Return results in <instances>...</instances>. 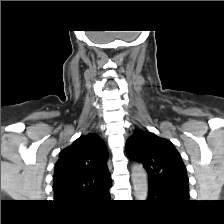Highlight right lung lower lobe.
Here are the masks:
<instances>
[{"label":"right lung lower lobe","instance_id":"1","mask_svg":"<svg viewBox=\"0 0 224 224\" xmlns=\"http://www.w3.org/2000/svg\"><path fill=\"white\" fill-rule=\"evenodd\" d=\"M102 199H107V200H109V199H110V194L108 193V194L105 195Z\"/></svg>","mask_w":224,"mask_h":224}]
</instances>
